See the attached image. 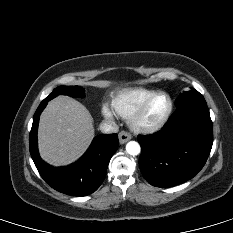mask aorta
I'll return each instance as SVG.
<instances>
[{"label":"aorta","mask_w":233,"mask_h":233,"mask_svg":"<svg viewBox=\"0 0 233 233\" xmlns=\"http://www.w3.org/2000/svg\"><path fill=\"white\" fill-rule=\"evenodd\" d=\"M141 148L138 142L130 141L126 144V152L132 156H136L140 153Z\"/></svg>","instance_id":"obj_1"}]
</instances>
